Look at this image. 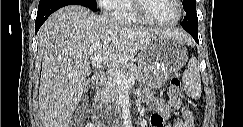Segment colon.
<instances>
[{"mask_svg":"<svg viewBox=\"0 0 243 127\" xmlns=\"http://www.w3.org/2000/svg\"><path fill=\"white\" fill-rule=\"evenodd\" d=\"M170 94L172 96L182 98L181 83H180V80L178 78L171 79V81H170ZM78 116H79V120H82L85 117V113L83 111H79Z\"/></svg>","mask_w":243,"mask_h":127,"instance_id":"1","label":"colon"}]
</instances>
